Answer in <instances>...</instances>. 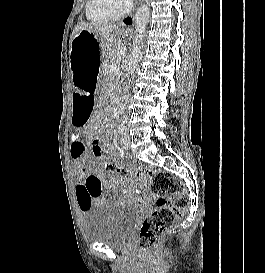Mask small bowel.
<instances>
[{
	"mask_svg": "<svg viewBox=\"0 0 265 273\" xmlns=\"http://www.w3.org/2000/svg\"><path fill=\"white\" fill-rule=\"evenodd\" d=\"M91 95V91H84L83 95L74 94L72 96L74 103L70 105V123L73 124V128H80L75 130L71 137V156L78 173L76 200L82 212L92 206L107 203V200L101 196L103 185L113 193L120 190L122 195L118 197L119 201L124 199L130 185L126 177L114 174L110 180H107L103 168L93 165V159L87 153L85 135L91 134L96 128L93 124H86L89 120L87 116L89 108H93V103L89 102H95V97H89Z\"/></svg>",
	"mask_w": 265,
	"mask_h": 273,
	"instance_id": "1",
	"label": "small bowel"
}]
</instances>
